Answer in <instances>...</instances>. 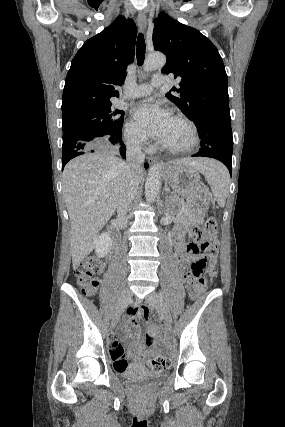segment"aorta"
I'll list each match as a JSON object with an SVG mask.
<instances>
[{
    "label": "aorta",
    "instance_id": "obj_1",
    "mask_svg": "<svg viewBox=\"0 0 285 427\" xmlns=\"http://www.w3.org/2000/svg\"><path fill=\"white\" fill-rule=\"evenodd\" d=\"M166 57L160 52H154L147 56L143 69L145 72H151L164 67ZM161 183V165L155 164L149 169L147 179L145 182V197L146 201L154 202L159 192Z\"/></svg>",
    "mask_w": 285,
    "mask_h": 427
}]
</instances>
